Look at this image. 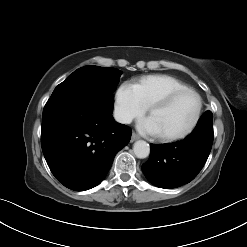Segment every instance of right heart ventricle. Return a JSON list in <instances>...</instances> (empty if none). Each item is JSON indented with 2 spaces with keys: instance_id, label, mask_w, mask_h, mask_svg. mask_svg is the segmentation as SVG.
<instances>
[{
  "instance_id": "1",
  "label": "right heart ventricle",
  "mask_w": 247,
  "mask_h": 247,
  "mask_svg": "<svg viewBox=\"0 0 247 247\" xmlns=\"http://www.w3.org/2000/svg\"><path fill=\"white\" fill-rule=\"evenodd\" d=\"M134 85L138 89L145 108L150 107L155 101L171 91L189 88L184 82L166 74L142 77Z\"/></svg>"
}]
</instances>
